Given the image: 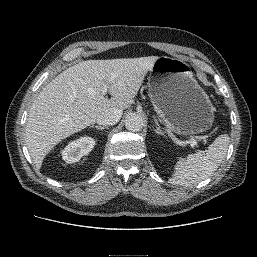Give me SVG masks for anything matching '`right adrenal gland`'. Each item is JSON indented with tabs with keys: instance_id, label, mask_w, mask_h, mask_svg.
<instances>
[{
	"instance_id": "1",
	"label": "right adrenal gland",
	"mask_w": 257,
	"mask_h": 257,
	"mask_svg": "<svg viewBox=\"0 0 257 257\" xmlns=\"http://www.w3.org/2000/svg\"><path fill=\"white\" fill-rule=\"evenodd\" d=\"M90 127H94V128H96V129H98V130H104V129H107L108 127H106V126H97V125H91Z\"/></svg>"
}]
</instances>
